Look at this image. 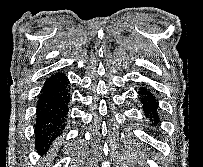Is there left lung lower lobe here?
<instances>
[{"mask_svg":"<svg viewBox=\"0 0 203 167\" xmlns=\"http://www.w3.org/2000/svg\"><path fill=\"white\" fill-rule=\"evenodd\" d=\"M138 93L145 116L150 120L152 126H156L160 121L156 96L152 89L144 83L139 87Z\"/></svg>","mask_w":203,"mask_h":167,"instance_id":"0a47b994","label":"left lung lower lobe"}]
</instances>
